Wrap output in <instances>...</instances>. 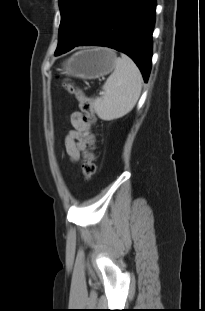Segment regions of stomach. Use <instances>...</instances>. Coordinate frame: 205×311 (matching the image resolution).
Segmentation results:
<instances>
[{
  "instance_id": "obj_1",
  "label": "stomach",
  "mask_w": 205,
  "mask_h": 311,
  "mask_svg": "<svg viewBox=\"0 0 205 311\" xmlns=\"http://www.w3.org/2000/svg\"><path fill=\"white\" fill-rule=\"evenodd\" d=\"M116 54L107 48L79 51L62 64V73L81 79H96L115 68Z\"/></svg>"
}]
</instances>
